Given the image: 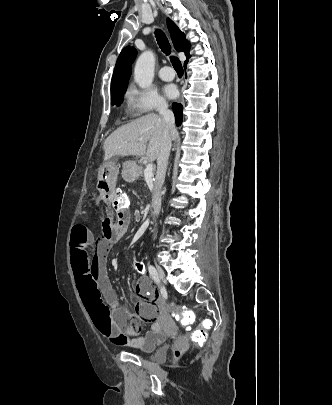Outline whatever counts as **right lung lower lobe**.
<instances>
[{
    "label": "right lung lower lobe",
    "mask_w": 332,
    "mask_h": 405,
    "mask_svg": "<svg viewBox=\"0 0 332 405\" xmlns=\"http://www.w3.org/2000/svg\"><path fill=\"white\" fill-rule=\"evenodd\" d=\"M186 64H187V62L184 63L185 68H186ZM172 108H173V112L175 114L176 124H177V126H180L182 123V118H183V114H182L183 107L181 104L173 103Z\"/></svg>",
    "instance_id": "1"
}]
</instances>
